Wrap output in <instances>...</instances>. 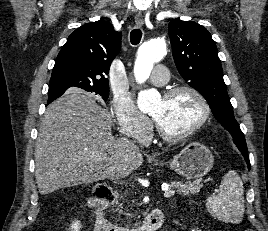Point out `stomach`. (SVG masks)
I'll list each match as a JSON object with an SVG mask.
<instances>
[{"instance_id": "stomach-1", "label": "stomach", "mask_w": 268, "mask_h": 231, "mask_svg": "<svg viewBox=\"0 0 268 231\" xmlns=\"http://www.w3.org/2000/svg\"><path fill=\"white\" fill-rule=\"evenodd\" d=\"M160 164L163 165V163ZM166 164L183 178L200 179L213 167L214 157L207 147L193 142Z\"/></svg>"}]
</instances>
